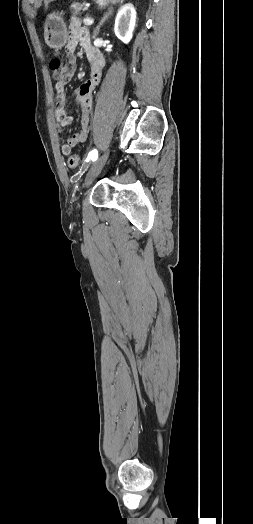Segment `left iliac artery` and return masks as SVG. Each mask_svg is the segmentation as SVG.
Returning a JSON list of instances; mask_svg holds the SVG:
<instances>
[{
    "mask_svg": "<svg viewBox=\"0 0 253 524\" xmlns=\"http://www.w3.org/2000/svg\"><path fill=\"white\" fill-rule=\"evenodd\" d=\"M98 157V152L97 150H92L89 155H88V160H91V161H95Z\"/></svg>",
    "mask_w": 253,
    "mask_h": 524,
    "instance_id": "left-iliac-artery-1",
    "label": "left iliac artery"
}]
</instances>
